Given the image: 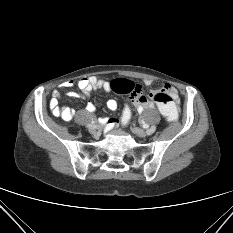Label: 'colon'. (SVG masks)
I'll use <instances>...</instances> for the list:
<instances>
[{"instance_id": "obj_1", "label": "colon", "mask_w": 233, "mask_h": 233, "mask_svg": "<svg viewBox=\"0 0 233 233\" xmlns=\"http://www.w3.org/2000/svg\"><path fill=\"white\" fill-rule=\"evenodd\" d=\"M111 89L118 94H130L133 102H143L151 99L158 105L160 112L169 122L177 119V109L170 95L164 90L144 91L141 85L126 79H115L111 82ZM132 117V109L126 105L123 109L121 121L127 125Z\"/></svg>"}]
</instances>
